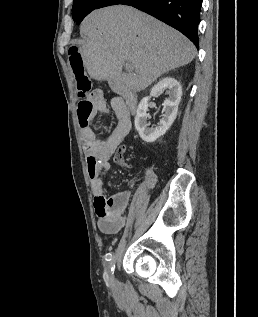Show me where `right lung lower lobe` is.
I'll use <instances>...</instances> for the list:
<instances>
[{
  "instance_id": "1",
  "label": "right lung lower lobe",
  "mask_w": 258,
  "mask_h": 317,
  "mask_svg": "<svg viewBox=\"0 0 258 317\" xmlns=\"http://www.w3.org/2000/svg\"><path fill=\"white\" fill-rule=\"evenodd\" d=\"M116 4L129 5L154 16L179 30L199 48L197 28L202 0H87L76 22L79 24L95 9Z\"/></svg>"
}]
</instances>
